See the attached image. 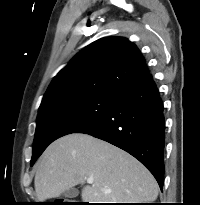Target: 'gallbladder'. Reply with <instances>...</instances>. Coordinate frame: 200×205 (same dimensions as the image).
<instances>
[{
	"label": "gallbladder",
	"instance_id": "bac80fb5",
	"mask_svg": "<svg viewBox=\"0 0 200 205\" xmlns=\"http://www.w3.org/2000/svg\"><path fill=\"white\" fill-rule=\"evenodd\" d=\"M79 192L76 188H70L62 193V197L64 198H74L78 196Z\"/></svg>",
	"mask_w": 200,
	"mask_h": 205
}]
</instances>
